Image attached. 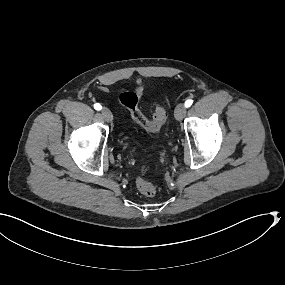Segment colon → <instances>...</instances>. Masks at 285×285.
I'll use <instances>...</instances> for the list:
<instances>
[{
    "label": "colon",
    "instance_id": "colon-1",
    "mask_svg": "<svg viewBox=\"0 0 285 285\" xmlns=\"http://www.w3.org/2000/svg\"><path fill=\"white\" fill-rule=\"evenodd\" d=\"M119 103L130 112L132 119L147 131H160L166 123L167 114L162 106H156L152 119H147L138 108V96L134 92L121 93ZM136 186L141 194L148 197L154 196L157 191L152 182L141 177L136 179Z\"/></svg>",
    "mask_w": 285,
    "mask_h": 285
}]
</instances>
